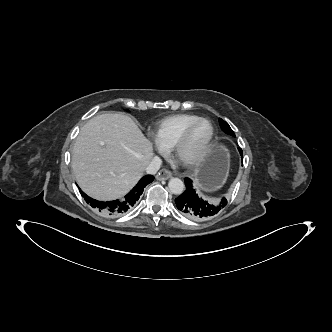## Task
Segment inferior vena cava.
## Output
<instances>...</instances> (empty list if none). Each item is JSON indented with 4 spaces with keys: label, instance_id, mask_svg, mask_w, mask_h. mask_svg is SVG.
I'll list each match as a JSON object with an SVG mask.
<instances>
[{
    "label": "inferior vena cava",
    "instance_id": "602c4592",
    "mask_svg": "<svg viewBox=\"0 0 332 332\" xmlns=\"http://www.w3.org/2000/svg\"><path fill=\"white\" fill-rule=\"evenodd\" d=\"M161 165L162 160L158 156L153 157L145 169L146 173L152 175L156 174L157 171L160 169Z\"/></svg>",
    "mask_w": 332,
    "mask_h": 332
}]
</instances>
